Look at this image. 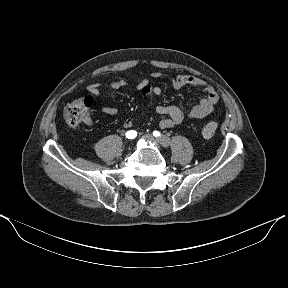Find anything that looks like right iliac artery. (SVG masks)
Here are the masks:
<instances>
[{
  "label": "right iliac artery",
  "instance_id": "right-iliac-artery-1",
  "mask_svg": "<svg viewBox=\"0 0 288 288\" xmlns=\"http://www.w3.org/2000/svg\"><path fill=\"white\" fill-rule=\"evenodd\" d=\"M137 136V132L135 130H130L126 132V137L128 139H134Z\"/></svg>",
  "mask_w": 288,
  "mask_h": 288
}]
</instances>
